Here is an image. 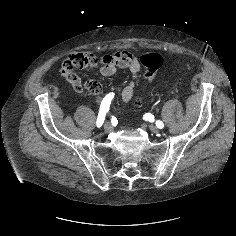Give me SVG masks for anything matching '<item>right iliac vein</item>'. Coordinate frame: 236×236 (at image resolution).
I'll return each instance as SVG.
<instances>
[{
	"instance_id": "63e3f726",
	"label": "right iliac vein",
	"mask_w": 236,
	"mask_h": 236,
	"mask_svg": "<svg viewBox=\"0 0 236 236\" xmlns=\"http://www.w3.org/2000/svg\"><path fill=\"white\" fill-rule=\"evenodd\" d=\"M112 129H113V126L111 125L110 122H106V123L104 124V131H105V132H110V131H112Z\"/></svg>"
}]
</instances>
